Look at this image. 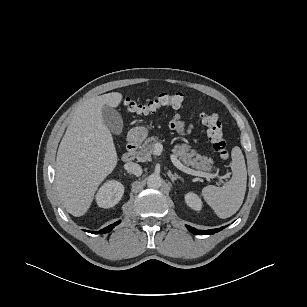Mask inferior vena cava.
Returning a JSON list of instances; mask_svg holds the SVG:
<instances>
[{"label":"inferior vena cava","instance_id":"obj_1","mask_svg":"<svg viewBox=\"0 0 307 307\" xmlns=\"http://www.w3.org/2000/svg\"><path fill=\"white\" fill-rule=\"evenodd\" d=\"M125 170H127L129 173H132L136 176H141L142 174V168L139 164L134 162H128L124 165Z\"/></svg>","mask_w":307,"mask_h":307}]
</instances>
